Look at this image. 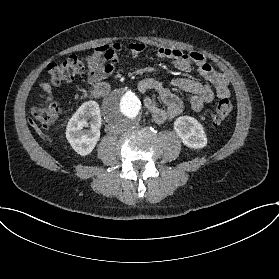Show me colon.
Wrapping results in <instances>:
<instances>
[{"instance_id":"1","label":"colon","mask_w":279,"mask_h":279,"mask_svg":"<svg viewBox=\"0 0 279 279\" xmlns=\"http://www.w3.org/2000/svg\"><path fill=\"white\" fill-rule=\"evenodd\" d=\"M86 68V61L76 55H71L59 63H52L48 66L50 81L54 85H60L64 81L82 74ZM232 111V103L228 98L219 100L216 104L213 123L218 125L225 121ZM31 117L41 126L48 128L55 124L58 114L57 104L49 101L44 95L31 108Z\"/></svg>"}]
</instances>
